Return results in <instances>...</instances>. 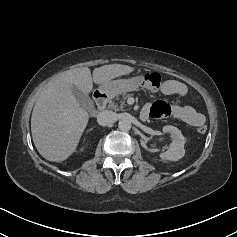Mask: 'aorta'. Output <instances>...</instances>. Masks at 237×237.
<instances>
[{"mask_svg":"<svg viewBox=\"0 0 237 237\" xmlns=\"http://www.w3.org/2000/svg\"><path fill=\"white\" fill-rule=\"evenodd\" d=\"M118 127L121 131H129L131 129V121L127 118H123L119 121Z\"/></svg>","mask_w":237,"mask_h":237,"instance_id":"1","label":"aorta"}]
</instances>
